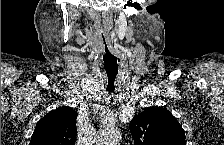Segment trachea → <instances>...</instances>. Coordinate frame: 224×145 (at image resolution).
Returning a JSON list of instances; mask_svg holds the SVG:
<instances>
[{"label":"trachea","instance_id":"trachea-1","mask_svg":"<svg viewBox=\"0 0 224 145\" xmlns=\"http://www.w3.org/2000/svg\"><path fill=\"white\" fill-rule=\"evenodd\" d=\"M107 56V54H106ZM104 70L106 76V83H108L107 91L113 93L115 90V80L118 74L117 58L110 54L109 58L104 59Z\"/></svg>","mask_w":224,"mask_h":145}]
</instances>
